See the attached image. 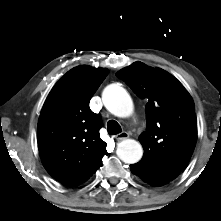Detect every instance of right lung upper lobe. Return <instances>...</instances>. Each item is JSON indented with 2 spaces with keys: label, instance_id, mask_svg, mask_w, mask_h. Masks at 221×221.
<instances>
[{
  "label": "right lung upper lobe",
  "instance_id": "1",
  "mask_svg": "<svg viewBox=\"0 0 221 221\" xmlns=\"http://www.w3.org/2000/svg\"><path fill=\"white\" fill-rule=\"evenodd\" d=\"M107 74L104 68L75 67L56 83L43 105L37 126L40 157L48 173L64 185L89 179L106 153L99 135L102 122L89 102Z\"/></svg>",
  "mask_w": 221,
  "mask_h": 221
}]
</instances>
